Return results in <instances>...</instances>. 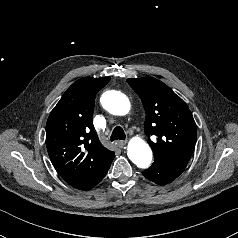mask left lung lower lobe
<instances>
[{
  "instance_id": "0a47b994",
  "label": "left lung lower lobe",
  "mask_w": 238,
  "mask_h": 238,
  "mask_svg": "<svg viewBox=\"0 0 238 238\" xmlns=\"http://www.w3.org/2000/svg\"><path fill=\"white\" fill-rule=\"evenodd\" d=\"M185 167V165L155 159L154 163L142 174L156 184L165 185L177 178Z\"/></svg>"
}]
</instances>
